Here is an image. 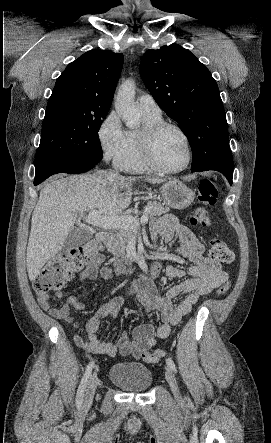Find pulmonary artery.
<instances>
[{"label": "pulmonary artery", "mask_w": 271, "mask_h": 443, "mask_svg": "<svg viewBox=\"0 0 271 443\" xmlns=\"http://www.w3.org/2000/svg\"><path fill=\"white\" fill-rule=\"evenodd\" d=\"M137 104L144 116H158L161 109L150 94H142L137 98Z\"/></svg>", "instance_id": "e3ab8cb5"}]
</instances>
